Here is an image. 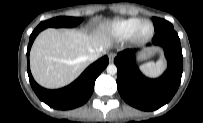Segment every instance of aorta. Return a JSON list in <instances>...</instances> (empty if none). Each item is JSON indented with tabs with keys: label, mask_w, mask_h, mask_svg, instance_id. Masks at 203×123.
I'll return each instance as SVG.
<instances>
[{
	"label": "aorta",
	"mask_w": 203,
	"mask_h": 123,
	"mask_svg": "<svg viewBox=\"0 0 203 123\" xmlns=\"http://www.w3.org/2000/svg\"><path fill=\"white\" fill-rule=\"evenodd\" d=\"M106 70L109 75H115L117 73V67L115 64H109Z\"/></svg>",
	"instance_id": "762f6f07"
}]
</instances>
